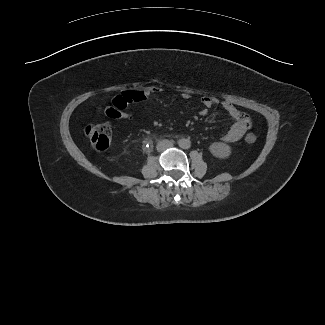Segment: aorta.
Returning <instances> with one entry per match:
<instances>
[{
    "mask_svg": "<svg viewBox=\"0 0 325 325\" xmlns=\"http://www.w3.org/2000/svg\"><path fill=\"white\" fill-rule=\"evenodd\" d=\"M179 146L183 149H188L190 148L191 146V142L189 139H181L179 142H178Z\"/></svg>",
    "mask_w": 325,
    "mask_h": 325,
    "instance_id": "aorta-1",
    "label": "aorta"
}]
</instances>
